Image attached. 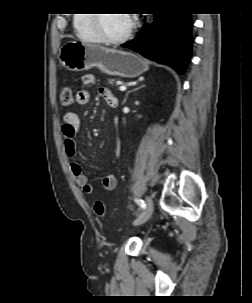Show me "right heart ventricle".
I'll list each match as a JSON object with an SVG mask.
<instances>
[{"mask_svg":"<svg viewBox=\"0 0 252 303\" xmlns=\"http://www.w3.org/2000/svg\"><path fill=\"white\" fill-rule=\"evenodd\" d=\"M74 26L83 38L95 41L101 40L96 31L92 14H78L74 19Z\"/></svg>","mask_w":252,"mask_h":303,"instance_id":"right-heart-ventricle-1","label":"right heart ventricle"}]
</instances>
